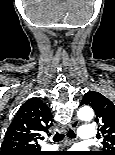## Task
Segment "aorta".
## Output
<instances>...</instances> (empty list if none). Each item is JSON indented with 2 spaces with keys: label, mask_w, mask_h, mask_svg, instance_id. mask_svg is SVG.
Instances as JSON below:
<instances>
[{
  "label": "aorta",
  "mask_w": 115,
  "mask_h": 155,
  "mask_svg": "<svg viewBox=\"0 0 115 155\" xmlns=\"http://www.w3.org/2000/svg\"><path fill=\"white\" fill-rule=\"evenodd\" d=\"M78 118L83 121H91L94 117V112L91 107L83 106L77 112Z\"/></svg>",
  "instance_id": "1"
}]
</instances>
